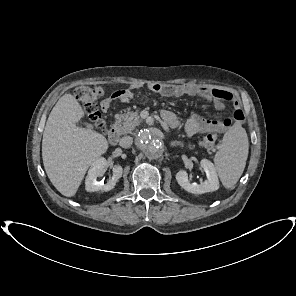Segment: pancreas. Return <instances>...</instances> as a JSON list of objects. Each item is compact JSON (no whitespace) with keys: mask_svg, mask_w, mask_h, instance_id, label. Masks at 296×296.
<instances>
[{"mask_svg":"<svg viewBox=\"0 0 296 296\" xmlns=\"http://www.w3.org/2000/svg\"><path fill=\"white\" fill-rule=\"evenodd\" d=\"M115 118H116L115 125L117 126L118 131L121 134L131 133L143 121L140 118L138 111L117 114ZM179 136L184 137V135H179Z\"/></svg>","mask_w":296,"mask_h":296,"instance_id":"obj_1","label":"pancreas"}]
</instances>
